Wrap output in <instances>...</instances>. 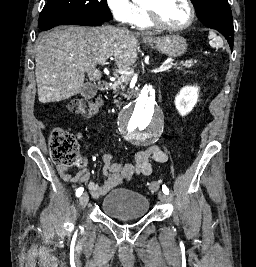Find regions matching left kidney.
<instances>
[{
  "instance_id": "obj_1",
  "label": "left kidney",
  "mask_w": 256,
  "mask_h": 267,
  "mask_svg": "<svg viewBox=\"0 0 256 267\" xmlns=\"http://www.w3.org/2000/svg\"><path fill=\"white\" fill-rule=\"evenodd\" d=\"M198 94V86H184V88H181L174 100L176 110H178L180 116H186L193 110L198 102Z\"/></svg>"
}]
</instances>
